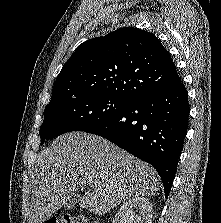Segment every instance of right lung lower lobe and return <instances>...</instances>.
<instances>
[{
  "label": "right lung lower lobe",
  "mask_w": 221,
  "mask_h": 223,
  "mask_svg": "<svg viewBox=\"0 0 221 223\" xmlns=\"http://www.w3.org/2000/svg\"><path fill=\"white\" fill-rule=\"evenodd\" d=\"M188 92L182 82L140 96L120 114L84 132L97 134L150 163L171 190L188 128Z\"/></svg>",
  "instance_id": "1"
}]
</instances>
